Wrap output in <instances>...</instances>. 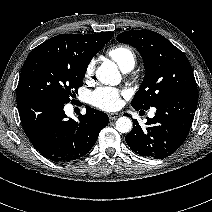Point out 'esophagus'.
I'll use <instances>...</instances> for the list:
<instances>
[{
  "label": "esophagus",
  "instance_id": "1",
  "mask_svg": "<svg viewBox=\"0 0 212 212\" xmlns=\"http://www.w3.org/2000/svg\"><path fill=\"white\" fill-rule=\"evenodd\" d=\"M119 117L118 113H111L109 114L110 120H116Z\"/></svg>",
  "mask_w": 212,
  "mask_h": 212
}]
</instances>
